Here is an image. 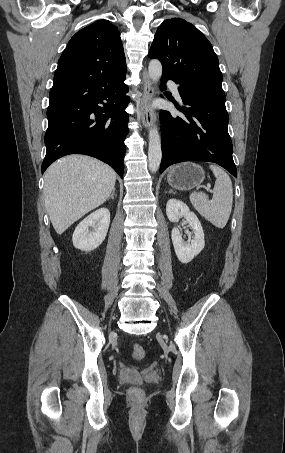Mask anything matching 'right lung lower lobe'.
Listing matches in <instances>:
<instances>
[{
	"instance_id": "right-lung-lower-lobe-1",
	"label": "right lung lower lobe",
	"mask_w": 285,
	"mask_h": 453,
	"mask_svg": "<svg viewBox=\"0 0 285 453\" xmlns=\"http://www.w3.org/2000/svg\"><path fill=\"white\" fill-rule=\"evenodd\" d=\"M124 80L125 73L97 79L77 76L53 81L42 173L56 159L78 153L102 160L123 177L124 140L128 132L125 109L129 103Z\"/></svg>"
}]
</instances>
